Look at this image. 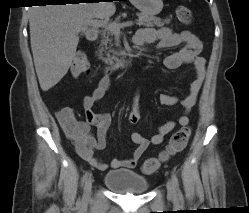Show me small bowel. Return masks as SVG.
Returning a JSON list of instances; mask_svg holds the SVG:
<instances>
[{"label": "small bowel", "instance_id": "c3829d8e", "mask_svg": "<svg viewBox=\"0 0 249 213\" xmlns=\"http://www.w3.org/2000/svg\"><path fill=\"white\" fill-rule=\"evenodd\" d=\"M136 45L156 44L160 49L181 48L164 59V65L168 69H177L182 64H192L194 67V79L189 86L188 94L181 100L184 114L177 121L178 125L186 126L189 123L188 113L195 105L199 91L205 78L206 60L200 56L202 50L201 41L189 31L174 32L168 27L150 28L145 27L136 33L134 37ZM111 80L103 77L91 94L83 100L86 120L80 121L75 117L74 110L64 107L57 111L56 116L63 131L74 141L79 156L92 167L106 170L108 165L100 162L95 156V150H103L107 145V132L111 124V116L107 113H96L93 111L94 104L101 100L109 89ZM160 103L165 106H173L177 98L171 95H160ZM141 119L138 98L134 97L132 109L128 116V122L137 124ZM91 126L96 127V133L91 132ZM176 126V122L168 121L158 127L156 133L151 137H145L138 132L131 134V141L136 145L132 156L128 159L114 158L110 167L133 168L145 153L149 145L160 144L164 137Z\"/></svg>", "mask_w": 249, "mask_h": 213}]
</instances>
